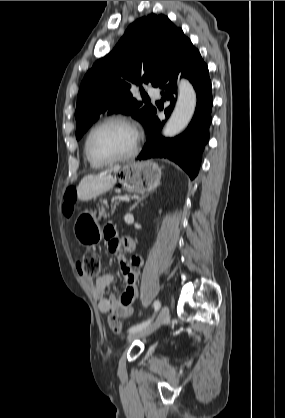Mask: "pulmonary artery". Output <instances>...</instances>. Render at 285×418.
<instances>
[{
    "mask_svg": "<svg viewBox=\"0 0 285 418\" xmlns=\"http://www.w3.org/2000/svg\"><path fill=\"white\" fill-rule=\"evenodd\" d=\"M147 93L154 98H159L160 97V91H159L158 88H155V87H149L147 89Z\"/></svg>",
    "mask_w": 285,
    "mask_h": 418,
    "instance_id": "e3ab8cb5",
    "label": "pulmonary artery"
}]
</instances>
